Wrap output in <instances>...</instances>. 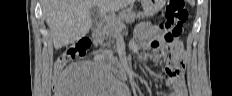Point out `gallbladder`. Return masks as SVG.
<instances>
[{
    "mask_svg": "<svg viewBox=\"0 0 232 96\" xmlns=\"http://www.w3.org/2000/svg\"><path fill=\"white\" fill-rule=\"evenodd\" d=\"M90 16H91V21H92L91 28L93 31H96L98 27L100 26V21H101L100 10L97 6H92L91 11H90Z\"/></svg>",
    "mask_w": 232,
    "mask_h": 96,
    "instance_id": "gallbladder-1",
    "label": "gallbladder"
}]
</instances>
